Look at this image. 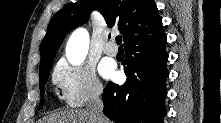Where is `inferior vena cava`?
Segmentation results:
<instances>
[{
  "mask_svg": "<svg viewBox=\"0 0 221 123\" xmlns=\"http://www.w3.org/2000/svg\"><path fill=\"white\" fill-rule=\"evenodd\" d=\"M102 94V88H97L92 98L87 106V111L89 112L91 123H104V116H103V102L100 98Z\"/></svg>",
  "mask_w": 221,
  "mask_h": 123,
  "instance_id": "inferior-vena-cava-1",
  "label": "inferior vena cava"
}]
</instances>
